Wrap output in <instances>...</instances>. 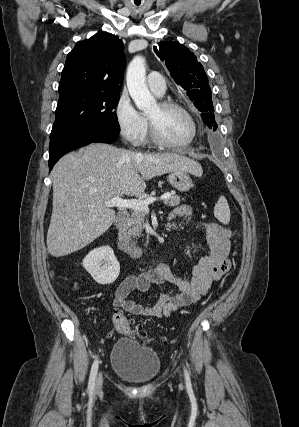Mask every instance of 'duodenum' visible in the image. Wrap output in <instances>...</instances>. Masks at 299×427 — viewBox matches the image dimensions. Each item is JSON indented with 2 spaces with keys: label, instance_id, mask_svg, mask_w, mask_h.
Returning a JSON list of instances; mask_svg holds the SVG:
<instances>
[{
  "label": "duodenum",
  "instance_id": "410a0bca",
  "mask_svg": "<svg viewBox=\"0 0 299 427\" xmlns=\"http://www.w3.org/2000/svg\"><path fill=\"white\" fill-rule=\"evenodd\" d=\"M128 220V212L120 211L117 214L116 220L113 225L114 241L116 246L126 255L131 258H140L144 255V250L132 242L124 232V225Z\"/></svg>",
  "mask_w": 299,
  "mask_h": 427
}]
</instances>
